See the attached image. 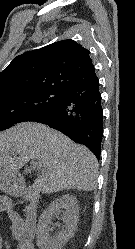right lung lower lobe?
<instances>
[{
  "instance_id": "obj_1",
  "label": "right lung lower lobe",
  "mask_w": 135,
  "mask_h": 249,
  "mask_svg": "<svg viewBox=\"0 0 135 249\" xmlns=\"http://www.w3.org/2000/svg\"><path fill=\"white\" fill-rule=\"evenodd\" d=\"M27 121L41 122L59 130L88 147L99 159L103 138V109L98 77L65 90L56 102Z\"/></svg>"
}]
</instances>
